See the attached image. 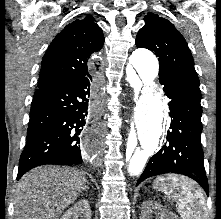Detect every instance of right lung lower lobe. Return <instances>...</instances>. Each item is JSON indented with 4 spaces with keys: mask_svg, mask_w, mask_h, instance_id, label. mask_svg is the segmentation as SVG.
<instances>
[{
    "mask_svg": "<svg viewBox=\"0 0 221 219\" xmlns=\"http://www.w3.org/2000/svg\"><path fill=\"white\" fill-rule=\"evenodd\" d=\"M93 97L92 74L35 92L17 180L40 165L82 162L80 139L91 119Z\"/></svg>",
    "mask_w": 221,
    "mask_h": 219,
    "instance_id": "obj_1",
    "label": "right lung lower lobe"
}]
</instances>
